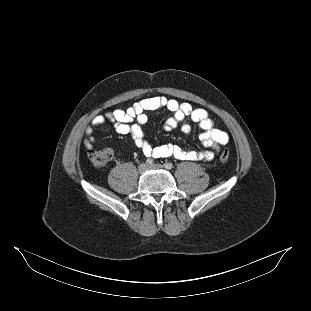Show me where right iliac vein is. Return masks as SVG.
<instances>
[{
  "label": "right iliac vein",
  "mask_w": 311,
  "mask_h": 311,
  "mask_svg": "<svg viewBox=\"0 0 311 311\" xmlns=\"http://www.w3.org/2000/svg\"><path fill=\"white\" fill-rule=\"evenodd\" d=\"M147 170H148V165L145 163L140 164L138 167V171L140 174L145 173Z\"/></svg>",
  "instance_id": "1"
}]
</instances>
